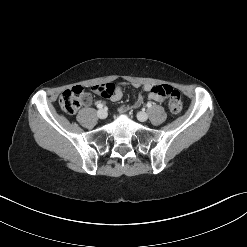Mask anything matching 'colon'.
Wrapping results in <instances>:
<instances>
[{
  "label": "colon",
  "instance_id": "1",
  "mask_svg": "<svg viewBox=\"0 0 247 247\" xmlns=\"http://www.w3.org/2000/svg\"><path fill=\"white\" fill-rule=\"evenodd\" d=\"M109 84L96 85L92 89L98 94H104L108 91ZM140 94L143 92L141 89L138 91ZM147 95L153 102L164 104L169 98L168 107L172 114L181 112L183 104L181 95L177 90H173L169 85H156L151 89L147 88ZM87 93L81 86H74L67 89L62 93L59 99L61 109L67 114H74L85 101ZM144 103V96L138 95L135 101V107H141ZM129 106V103H126ZM134 109V106L126 107V110Z\"/></svg>",
  "mask_w": 247,
  "mask_h": 247
}]
</instances>
